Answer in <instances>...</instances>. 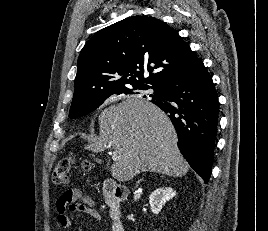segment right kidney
<instances>
[{"mask_svg":"<svg viewBox=\"0 0 268 231\" xmlns=\"http://www.w3.org/2000/svg\"><path fill=\"white\" fill-rule=\"evenodd\" d=\"M175 195L176 191L171 187H161L154 190L149 197L151 211L154 214H159L165 203L172 199Z\"/></svg>","mask_w":268,"mask_h":231,"instance_id":"ca27d5eb","label":"right kidney"}]
</instances>
